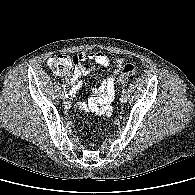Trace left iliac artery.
Segmentation results:
<instances>
[{"label":"left iliac artery","instance_id":"1","mask_svg":"<svg viewBox=\"0 0 195 195\" xmlns=\"http://www.w3.org/2000/svg\"><path fill=\"white\" fill-rule=\"evenodd\" d=\"M126 92H127L126 89H123L122 93L125 94Z\"/></svg>","mask_w":195,"mask_h":195}]
</instances>
